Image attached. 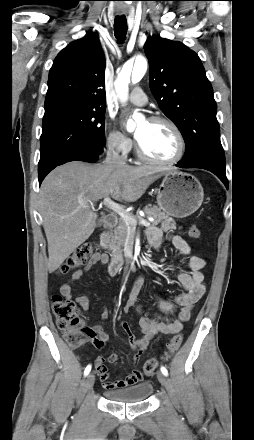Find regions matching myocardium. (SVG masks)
Wrapping results in <instances>:
<instances>
[{"label": "myocardium", "mask_w": 254, "mask_h": 440, "mask_svg": "<svg viewBox=\"0 0 254 440\" xmlns=\"http://www.w3.org/2000/svg\"><path fill=\"white\" fill-rule=\"evenodd\" d=\"M149 122H153V123H164L166 125H168L176 134L177 139H178V144H179V148H178V152L176 154L175 157H173L170 160H157L154 159L150 156H148L144 150L142 149L139 141L137 140L136 142V153L137 156L139 157L140 160L152 164V165H158V166H170V165H174L176 163H178L184 156L185 154V150H186V141L184 138V135L182 133V131L180 130V128L178 127V125L172 121L171 119L165 117V116H152L149 118L148 120Z\"/></svg>", "instance_id": "1"}]
</instances>
